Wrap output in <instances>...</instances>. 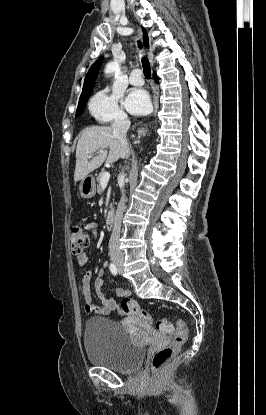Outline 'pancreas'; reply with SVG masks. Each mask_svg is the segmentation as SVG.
Masks as SVG:
<instances>
[{
	"instance_id": "obj_1",
	"label": "pancreas",
	"mask_w": 266,
	"mask_h": 415,
	"mask_svg": "<svg viewBox=\"0 0 266 415\" xmlns=\"http://www.w3.org/2000/svg\"><path fill=\"white\" fill-rule=\"evenodd\" d=\"M103 173L104 172H101L97 177L98 184H97L96 190H97V193H99V194H101V192H102V186L100 184V180H101V176H102Z\"/></svg>"
}]
</instances>
